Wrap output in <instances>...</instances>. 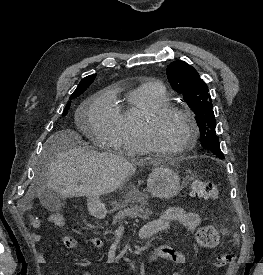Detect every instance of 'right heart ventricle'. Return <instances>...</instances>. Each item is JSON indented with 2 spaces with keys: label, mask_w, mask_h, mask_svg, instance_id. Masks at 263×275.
I'll return each instance as SVG.
<instances>
[{
  "label": "right heart ventricle",
  "mask_w": 263,
  "mask_h": 275,
  "mask_svg": "<svg viewBox=\"0 0 263 275\" xmlns=\"http://www.w3.org/2000/svg\"><path fill=\"white\" fill-rule=\"evenodd\" d=\"M166 103L167 96L157 83H142L128 91L124 104L115 109V146L132 156L147 154L149 150L141 131L143 117Z\"/></svg>",
  "instance_id": "1"
}]
</instances>
